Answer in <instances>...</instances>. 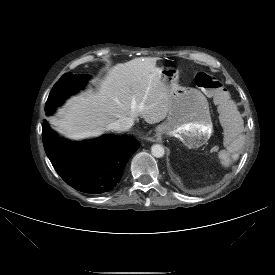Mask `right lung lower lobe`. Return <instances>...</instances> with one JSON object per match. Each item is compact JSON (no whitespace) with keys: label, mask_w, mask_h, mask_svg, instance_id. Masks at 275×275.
Returning <instances> with one entry per match:
<instances>
[{"label":"right lung lower lobe","mask_w":275,"mask_h":275,"mask_svg":"<svg viewBox=\"0 0 275 275\" xmlns=\"http://www.w3.org/2000/svg\"><path fill=\"white\" fill-rule=\"evenodd\" d=\"M43 145L54 169L74 189L100 194L119 182L128 159L139 148L134 137L105 135L83 143L62 140L42 125Z\"/></svg>","instance_id":"obj_1"}]
</instances>
